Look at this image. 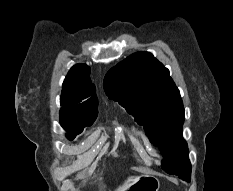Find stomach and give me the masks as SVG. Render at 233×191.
<instances>
[{"label":"stomach","mask_w":233,"mask_h":191,"mask_svg":"<svg viewBox=\"0 0 233 191\" xmlns=\"http://www.w3.org/2000/svg\"><path fill=\"white\" fill-rule=\"evenodd\" d=\"M160 182L152 175H131L114 191H159Z\"/></svg>","instance_id":"stomach-1"}]
</instances>
